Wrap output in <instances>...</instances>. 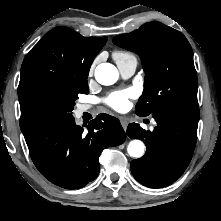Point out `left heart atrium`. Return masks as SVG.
<instances>
[{
    "label": "left heart atrium",
    "mask_w": 221,
    "mask_h": 221,
    "mask_svg": "<svg viewBox=\"0 0 221 221\" xmlns=\"http://www.w3.org/2000/svg\"><path fill=\"white\" fill-rule=\"evenodd\" d=\"M135 91L133 89H125L116 91L109 95L106 99V103L111 108L117 111H123L128 108L130 99L135 97Z\"/></svg>",
    "instance_id": "1"
}]
</instances>
